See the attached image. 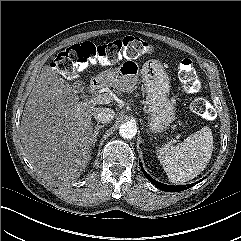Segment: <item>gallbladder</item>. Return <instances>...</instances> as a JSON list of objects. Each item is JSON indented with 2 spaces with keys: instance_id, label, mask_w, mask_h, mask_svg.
<instances>
[{
  "instance_id": "obj_1",
  "label": "gallbladder",
  "mask_w": 241,
  "mask_h": 241,
  "mask_svg": "<svg viewBox=\"0 0 241 241\" xmlns=\"http://www.w3.org/2000/svg\"><path fill=\"white\" fill-rule=\"evenodd\" d=\"M75 88L78 92L83 91L84 89V83L82 81L75 82Z\"/></svg>"
}]
</instances>
